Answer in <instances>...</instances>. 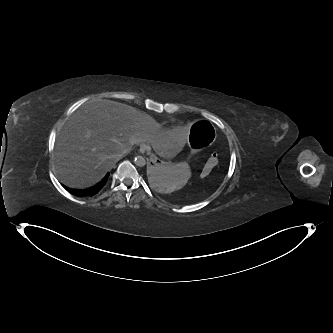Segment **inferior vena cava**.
Masks as SVG:
<instances>
[{
    "label": "inferior vena cava",
    "instance_id": "inferior-vena-cava-1",
    "mask_svg": "<svg viewBox=\"0 0 333 333\" xmlns=\"http://www.w3.org/2000/svg\"><path fill=\"white\" fill-rule=\"evenodd\" d=\"M126 153H127L126 151H125V152H123V153H122V156H123V155H125Z\"/></svg>",
    "mask_w": 333,
    "mask_h": 333
}]
</instances>
